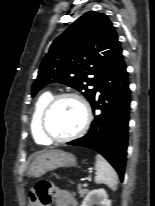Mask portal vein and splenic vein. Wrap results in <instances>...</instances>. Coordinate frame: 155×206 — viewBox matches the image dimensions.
I'll return each instance as SVG.
<instances>
[{"label": "portal vein and splenic vein", "instance_id": "obj_1", "mask_svg": "<svg viewBox=\"0 0 155 206\" xmlns=\"http://www.w3.org/2000/svg\"><path fill=\"white\" fill-rule=\"evenodd\" d=\"M83 186H84V187H87V184H86V183H84V184H83Z\"/></svg>", "mask_w": 155, "mask_h": 206}]
</instances>
